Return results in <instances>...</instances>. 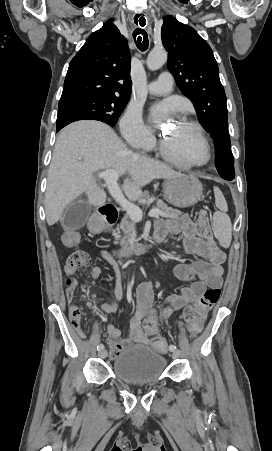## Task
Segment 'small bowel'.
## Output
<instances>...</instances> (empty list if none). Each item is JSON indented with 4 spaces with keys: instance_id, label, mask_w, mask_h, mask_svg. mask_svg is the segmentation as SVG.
I'll return each mask as SVG.
<instances>
[{
    "instance_id": "small-bowel-1",
    "label": "small bowel",
    "mask_w": 272,
    "mask_h": 451,
    "mask_svg": "<svg viewBox=\"0 0 272 451\" xmlns=\"http://www.w3.org/2000/svg\"><path fill=\"white\" fill-rule=\"evenodd\" d=\"M201 229L194 224L189 216L183 215L174 220L160 219L155 224V240H163L168 234L174 236L182 235V244L187 254H194L198 260L190 264H178L174 267L175 275L182 281L190 284L183 287L179 294H173L166 298L162 304L160 313L155 319L153 309L154 291L150 283H143L137 290V302L135 310L129 315V332L121 337L120 330L112 324H108L106 331L108 337L107 345L110 347L109 358L116 360L122 351L132 344H146L154 338L160 337L163 324L171 317L172 313L184 309L190 303L201 296L207 288H219L222 285L223 267L225 253L218 245H204L200 236ZM82 252V251H79ZM74 282L73 289H66V297L70 303L69 311H80L74 304L78 281L73 277L76 270H66ZM104 274L100 266H93L88 273V278L98 279ZM87 283V279H84ZM69 290V291H68ZM122 291L119 277L112 300L109 303L99 304V308L106 313H115ZM153 319L155 324L151 328L142 327L141 321ZM80 336V335H79Z\"/></svg>"
}]
</instances>
